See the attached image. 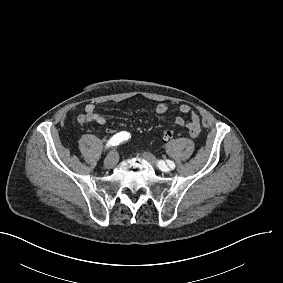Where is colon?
<instances>
[{"mask_svg": "<svg viewBox=\"0 0 283 283\" xmlns=\"http://www.w3.org/2000/svg\"><path fill=\"white\" fill-rule=\"evenodd\" d=\"M175 136V131L173 129H166L162 133V140L163 141H169Z\"/></svg>", "mask_w": 283, "mask_h": 283, "instance_id": "1", "label": "colon"}]
</instances>
